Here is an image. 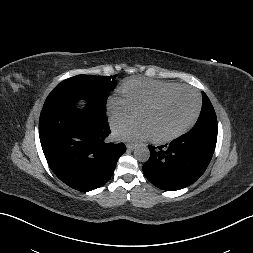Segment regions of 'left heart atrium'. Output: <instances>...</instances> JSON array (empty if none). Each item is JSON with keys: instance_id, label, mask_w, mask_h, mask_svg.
I'll return each instance as SVG.
<instances>
[{"instance_id": "1", "label": "left heart atrium", "mask_w": 253, "mask_h": 253, "mask_svg": "<svg viewBox=\"0 0 253 253\" xmlns=\"http://www.w3.org/2000/svg\"><path fill=\"white\" fill-rule=\"evenodd\" d=\"M113 134L117 140L127 141H137L152 137L147 124L139 118L135 121L117 124L114 127Z\"/></svg>"}]
</instances>
